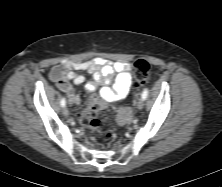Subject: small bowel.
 Masks as SVG:
<instances>
[{
	"mask_svg": "<svg viewBox=\"0 0 222 187\" xmlns=\"http://www.w3.org/2000/svg\"><path fill=\"white\" fill-rule=\"evenodd\" d=\"M76 70L87 71L93 75V80L87 82L85 88L88 92L93 93L99 85H102L99 93L106 102L119 101L128 95L131 84L129 63L124 61L112 62L101 57L85 62L63 61L51 69L49 77L61 91L69 95L70 103L75 106L80 104V96L74 91L70 83L81 85L86 80L83 75L76 73ZM114 73L117 74L115 82L109 86ZM128 113L127 109H120L116 116L125 117Z\"/></svg>",
	"mask_w": 222,
	"mask_h": 187,
	"instance_id": "c3829d8e",
	"label": "small bowel"
}]
</instances>
